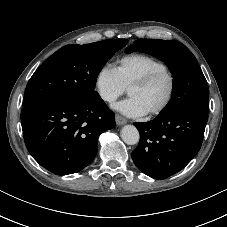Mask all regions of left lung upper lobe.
<instances>
[{"label": "left lung upper lobe", "mask_w": 227, "mask_h": 227, "mask_svg": "<svg viewBox=\"0 0 227 227\" xmlns=\"http://www.w3.org/2000/svg\"><path fill=\"white\" fill-rule=\"evenodd\" d=\"M144 52L164 61L173 76L172 98L160 116L181 111L208 115L209 88L201 68L191 51L173 40L139 39L126 53Z\"/></svg>", "instance_id": "obj_1"}]
</instances>
